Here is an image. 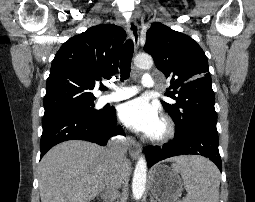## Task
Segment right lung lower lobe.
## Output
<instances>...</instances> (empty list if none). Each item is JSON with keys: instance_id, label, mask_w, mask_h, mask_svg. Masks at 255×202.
I'll return each instance as SVG.
<instances>
[{"instance_id": "right-lung-lower-lobe-1", "label": "right lung lower lobe", "mask_w": 255, "mask_h": 202, "mask_svg": "<svg viewBox=\"0 0 255 202\" xmlns=\"http://www.w3.org/2000/svg\"><path fill=\"white\" fill-rule=\"evenodd\" d=\"M42 126L40 158L54 145L63 141L80 139L103 146L110 137L125 135L122 127L117 125L114 109L104 111L101 117L82 112L44 114Z\"/></svg>"}]
</instances>
